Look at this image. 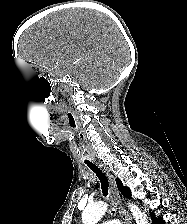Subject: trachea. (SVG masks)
Listing matches in <instances>:
<instances>
[{
	"instance_id": "1",
	"label": "trachea",
	"mask_w": 187,
	"mask_h": 224,
	"mask_svg": "<svg viewBox=\"0 0 187 224\" xmlns=\"http://www.w3.org/2000/svg\"><path fill=\"white\" fill-rule=\"evenodd\" d=\"M85 164H87V166L96 174V176L99 178L100 183H101V190L103 193V196H107L108 195V179L107 177L101 172V170L96 167L93 163L91 162H86ZM112 213H114V211H112Z\"/></svg>"
}]
</instances>
